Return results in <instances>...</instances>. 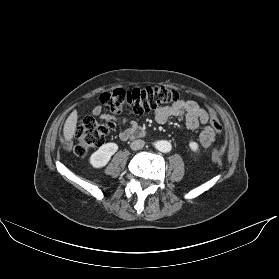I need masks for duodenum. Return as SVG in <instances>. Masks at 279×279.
Here are the masks:
<instances>
[{"instance_id": "1", "label": "duodenum", "mask_w": 279, "mask_h": 279, "mask_svg": "<svg viewBox=\"0 0 279 279\" xmlns=\"http://www.w3.org/2000/svg\"><path fill=\"white\" fill-rule=\"evenodd\" d=\"M126 139L142 138L146 135V131L140 127H133L124 132Z\"/></svg>"}]
</instances>
